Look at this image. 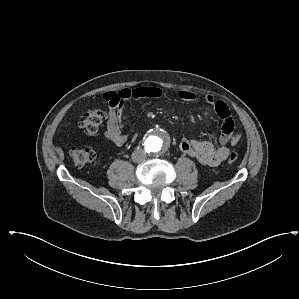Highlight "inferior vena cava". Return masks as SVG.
<instances>
[{"instance_id": "inferior-vena-cava-1", "label": "inferior vena cava", "mask_w": 299, "mask_h": 299, "mask_svg": "<svg viewBox=\"0 0 299 299\" xmlns=\"http://www.w3.org/2000/svg\"><path fill=\"white\" fill-rule=\"evenodd\" d=\"M146 159V153L143 149H136L132 153V160L135 163H142Z\"/></svg>"}]
</instances>
